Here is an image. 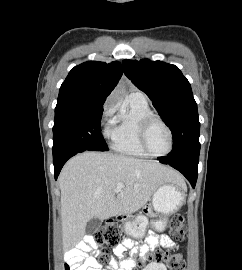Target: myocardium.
<instances>
[{"instance_id": "obj_1", "label": "myocardium", "mask_w": 242, "mask_h": 270, "mask_svg": "<svg viewBox=\"0 0 242 270\" xmlns=\"http://www.w3.org/2000/svg\"><path fill=\"white\" fill-rule=\"evenodd\" d=\"M154 122H158L160 123L167 131L168 136H169V148L168 150L163 153V154H155L153 153L148 144H147V134L149 131L150 126L154 123ZM139 141H140V145L143 148V150L151 157H156V158H161V157H166L168 156L174 147V137H173V132L170 128V126L159 116L155 115V114H151L147 117H145L141 124H140V128H139Z\"/></svg>"}]
</instances>
